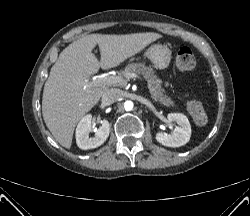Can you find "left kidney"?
<instances>
[{"label":"left kidney","instance_id":"left-kidney-1","mask_svg":"<svg viewBox=\"0 0 250 216\" xmlns=\"http://www.w3.org/2000/svg\"><path fill=\"white\" fill-rule=\"evenodd\" d=\"M170 122L178 124L172 134L157 133L156 140L167 147H180L185 145L191 136V126L188 118L181 113H170L167 116Z\"/></svg>","mask_w":250,"mask_h":216}]
</instances>
